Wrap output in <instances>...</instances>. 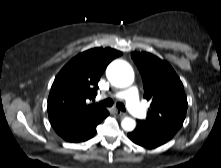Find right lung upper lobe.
Here are the masks:
<instances>
[{
	"instance_id": "obj_1",
	"label": "right lung upper lobe",
	"mask_w": 221,
	"mask_h": 168,
	"mask_svg": "<svg viewBox=\"0 0 221 168\" xmlns=\"http://www.w3.org/2000/svg\"><path fill=\"white\" fill-rule=\"evenodd\" d=\"M120 51L93 48L71 59L58 73L48 97V115L55 130L69 128L81 121H90L106 109L87 100L97 94L98 81L107 65Z\"/></svg>"
}]
</instances>
